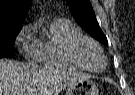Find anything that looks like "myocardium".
<instances>
[{
    "mask_svg": "<svg viewBox=\"0 0 135 95\" xmlns=\"http://www.w3.org/2000/svg\"><path fill=\"white\" fill-rule=\"evenodd\" d=\"M83 44H90V45L94 46L101 53L103 60H104V64H103L102 68L92 69L84 63V61L82 60V58L80 56V47ZM68 55H69L70 59L73 62H75L78 66H80L82 69L88 70L93 73L102 72L106 68L107 63H108L107 56H106L103 48L95 40L91 39L90 37L84 36V35L78 36L70 41V43L68 45Z\"/></svg>",
    "mask_w": 135,
    "mask_h": 95,
    "instance_id": "myocardium-1",
    "label": "myocardium"
}]
</instances>
